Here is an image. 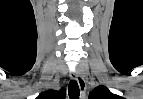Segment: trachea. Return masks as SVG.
<instances>
[{
  "label": "trachea",
  "instance_id": "obj_1",
  "mask_svg": "<svg viewBox=\"0 0 143 99\" xmlns=\"http://www.w3.org/2000/svg\"><path fill=\"white\" fill-rule=\"evenodd\" d=\"M68 94L70 99H79L80 90L77 81L71 80L69 82Z\"/></svg>",
  "mask_w": 143,
  "mask_h": 99
}]
</instances>
